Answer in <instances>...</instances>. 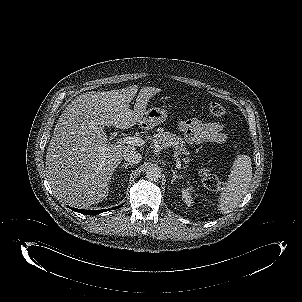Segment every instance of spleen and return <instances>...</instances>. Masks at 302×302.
I'll list each match as a JSON object with an SVG mask.
<instances>
[{"label":"spleen","instance_id":"spleen-1","mask_svg":"<svg viewBox=\"0 0 302 302\" xmlns=\"http://www.w3.org/2000/svg\"><path fill=\"white\" fill-rule=\"evenodd\" d=\"M252 178L251 159L240 155L234 162L229 180L222 188L219 197V210L222 213L231 212L246 194Z\"/></svg>","mask_w":302,"mask_h":302}]
</instances>
